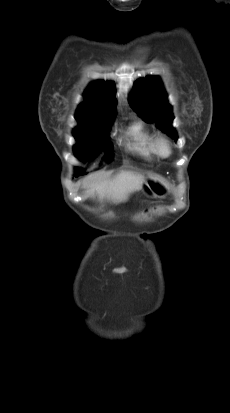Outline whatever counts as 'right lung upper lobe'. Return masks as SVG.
<instances>
[{"mask_svg":"<svg viewBox=\"0 0 230 413\" xmlns=\"http://www.w3.org/2000/svg\"><path fill=\"white\" fill-rule=\"evenodd\" d=\"M115 87L112 82L98 80L91 83L84 93L85 102L78 106L76 120L83 128L103 121H112L116 115L117 101L112 96Z\"/></svg>","mask_w":230,"mask_h":413,"instance_id":"cb5924a9","label":"right lung upper lobe"}]
</instances>
